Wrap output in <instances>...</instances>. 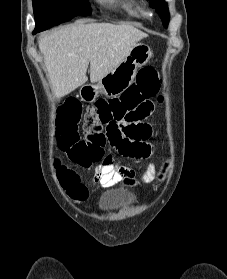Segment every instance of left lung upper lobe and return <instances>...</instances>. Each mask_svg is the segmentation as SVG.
<instances>
[{
	"label": "left lung upper lobe",
	"mask_w": 227,
	"mask_h": 279,
	"mask_svg": "<svg viewBox=\"0 0 227 279\" xmlns=\"http://www.w3.org/2000/svg\"><path fill=\"white\" fill-rule=\"evenodd\" d=\"M150 6L156 8V11L160 15L163 25L167 27L169 22V11L164 0H150Z\"/></svg>",
	"instance_id": "1"
}]
</instances>
